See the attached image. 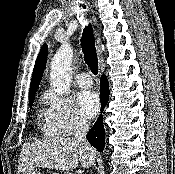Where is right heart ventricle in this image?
<instances>
[{"mask_svg":"<svg viewBox=\"0 0 175 174\" xmlns=\"http://www.w3.org/2000/svg\"><path fill=\"white\" fill-rule=\"evenodd\" d=\"M43 115H44V118H45L44 121H43V123H42V127H43L44 131H45L48 135H52V136L57 135V134L54 133V132L52 131V129L50 128V125H49V123H48L47 116H46V111L43 113Z\"/></svg>","mask_w":175,"mask_h":174,"instance_id":"right-heart-ventricle-1","label":"right heart ventricle"}]
</instances>
